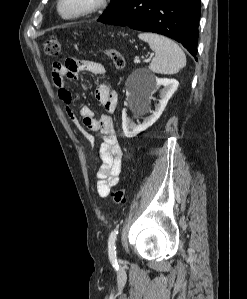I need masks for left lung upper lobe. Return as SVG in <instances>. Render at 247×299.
Returning <instances> with one entry per match:
<instances>
[{
    "label": "left lung upper lobe",
    "mask_w": 247,
    "mask_h": 299,
    "mask_svg": "<svg viewBox=\"0 0 247 299\" xmlns=\"http://www.w3.org/2000/svg\"><path fill=\"white\" fill-rule=\"evenodd\" d=\"M127 0H111V3L107 10L99 17V20L107 18L114 14Z\"/></svg>",
    "instance_id": "left-lung-upper-lobe-1"
}]
</instances>
